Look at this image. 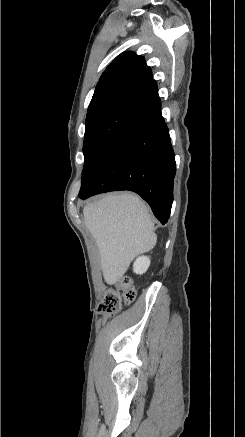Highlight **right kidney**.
I'll return each instance as SVG.
<instances>
[{
	"label": "right kidney",
	"mask_w": 245,
	"mask_h": 437,
	"mask_svg": "<svg viewBox=\"0 0 245 437\" xmlns=\"http://www.w3.org/2000/svg\"><path fill=\"white\" fill-rule=\"evenodd\" d=\"M150 266V259L147 256H142L136 259L133 265V270L136 274H143Z\"/></svg>",
	"instance_id": "obj_1"
}]
</instances>
